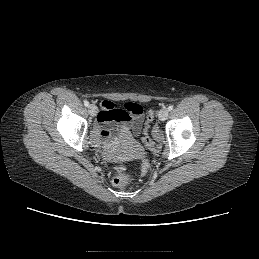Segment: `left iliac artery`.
Returning <instances> with one entry per match:
<instances>
[{
	"label": "left iliac artery",
	"instance_id": "left-iliac-artery-1",
	"mask_svg": "<svg viewBox=\"0 0 259 259\" xmlns=\"http://www.w3.org/2000/svg\"><path fill=\"white\" fill-rule=\"evenodd\" d=\"M168 110H169V111L173 110V106L170 105V106L168 107Z\"/></svg>",
	"mask_w": 259,
	"mask_h": 259
}]
</instances>
